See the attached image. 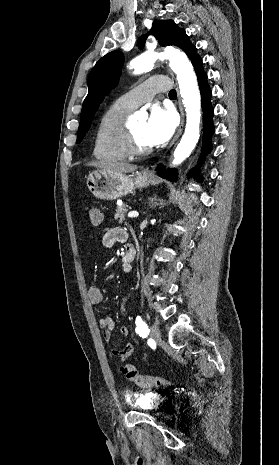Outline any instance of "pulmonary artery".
<instances>
[{
	"mask_svg": "<svg viewBox=\"0 0 279 465\" xmlns=\"http://www.w3.org/2000/svg\"><path fill=\"white\" fill-rule=\"evenodd\" d=\"M169 88V81L166 77H151L139 86L121 95L116 102L125 108L133 110L151 101L156 93L168 91Z\"/></svg>",
	"mask_w": 279,
	"mask_h": 465,
	"instance_id": "e3ab8cb5",
	"label": "pulmonary artery"
}]
</instances>
